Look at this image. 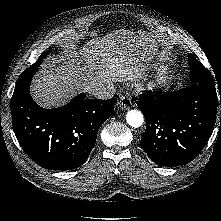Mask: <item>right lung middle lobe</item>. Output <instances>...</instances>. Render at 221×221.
Segmentation results:
<instances>
[{
  "instance_id": "obj_1",
  "label": "right lung middle lobe",
  "mask_w": 221,
  "mask_h": 221,
  "mask_svg": "<svg viewBox=\"0 0 221 221\" xmlns=\"http://www.w3.org/2000/svg\"><path fill=\"white\" fill-rule=\"evenodd\" d=\"M49 52H50V51H46V52H44V53L39 57L38 60L41 62L42 59H43L47 54H49Z\"/></svg>"
}]
</instances>
